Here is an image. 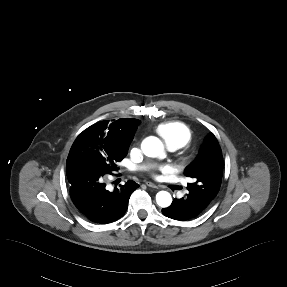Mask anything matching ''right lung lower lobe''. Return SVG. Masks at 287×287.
Segmentation results:
<instances>
[{"instance_id": "right-lung-lower-lobe-1", "label": "right lung lower lobe", "mask_w": 287, "mask_h": 287, "mask_svg": "<svg viewBox=\"0 0 287 287\" xmlns=\"http://www.w3.org/2000/svg\"><path fill=\"white\" fill-rule=\"evenodd\" d=\"M66 174L74 205L83 216L99 224L121 218L127 210L131 193L139 187L134 181L128 180L125 185L115 187L110 192L103 178L112 172L90 165L72 168Z\"/></svg>"}]
</instances>
